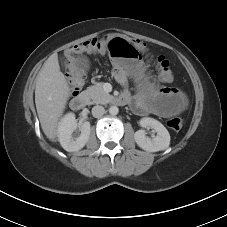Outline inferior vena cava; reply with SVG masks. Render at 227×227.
Masks as SVG:
<instances>
[{
	"label": "inferior vena cava",
	"mask_w": 227,
	"mask_h": 227,
	"mask_svg": "<svg viewBox=\"0 0 227 227\" xmlns=\"http://www.w3.org/2000/svg\"><path fill=\"white\" fill-rule=\"evenodd\" d=\"M105 109L103 106L96 105L92 108V115L96 118L101 117L102 115L105 114Z\"/></svg>",
	"instance_id": "obj_1"
}]
</instances>
